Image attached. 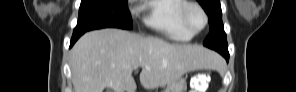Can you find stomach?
<instances>
[{
  "label": "stomach",
  "instance_id": "stomach-1",
  "mask_svg": "<svg viewBox=\"0 0 296 92\" xmlns=\"http://www.w3.org/2000/svg\"><path fill=\"white\" fill-rule=\"evenodd\" d=\"M187 83L184 78H179L167 86L164 92H185Z\"/></svg>",
  "mask_w": 296,
  "mask_h": 92
}]
</instances>
